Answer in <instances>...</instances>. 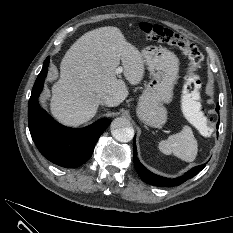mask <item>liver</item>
I'll return each instance as SVG.
<instances>
[{
    "instance_id": "6515ba94",
    "label": "liver",
    "mask_w": 233,
    "mask_h": 233,
    "mask_svg": "<svg viewBox=\"0 0 233 233\" xmlns=\"http://www.w3.org/2000/svg\"><path fill=\"white\" fill-rule=\"evenodd\" d=\"M122 62L126 80L137 85L143 79L142 53L117 27H101L82 35L66 52L60 64V78L52 87L53 117L67 126H79L97 113L101 98L110 95L114 105L128 96L115 70Z\"/></svg>"
}]
</instances>
